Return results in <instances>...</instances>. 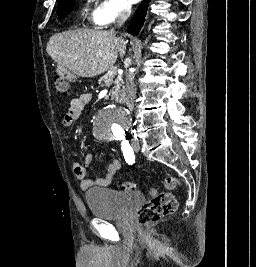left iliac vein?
Instances as JSON below:
<instances>
[{
  "instance_id": "obj_1",
  "label": "left iliac vein",
  "mask_w": 256,
  "mask_h": 267,
  "mask_svg": "<svg viewBox=\"0 0 256 267\" xmlns=\"http://www.w3.org/2000/svg\"><path fill=\"white\" fill-rule=\"evenodd\" d=\"M131 146H132V149H133L135 152H139V150H140V146H139L138 141L133 140Z\"/></svg>"
}]
</instances>
